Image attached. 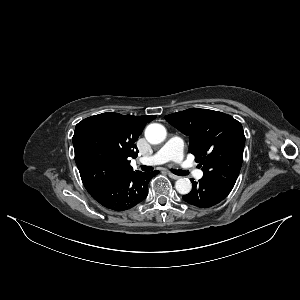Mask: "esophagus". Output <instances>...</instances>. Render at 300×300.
Wrapping results in <instances>:
<instances>
[{
    "label": "esophagus",
    "instance_id": "1",
    "mask_svg": "<svg viewBox=\"0 0 300 300\" xmlns=\"http://www.w3.org/2000/svg\"><path fill=\"white\" fill-rule=\"evenodd\" d=\"M168 176H169L170 178L174 179V180H177V179L180 178V176L174 175V174H172V173H168Z\"/></svg>",
    "mask_w": 300,
    "mask_h": 300
}]
</instances>
